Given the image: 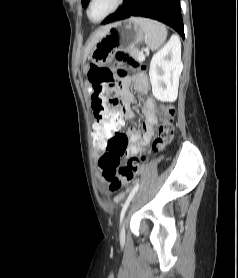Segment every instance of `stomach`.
Returning <instances> with one entry per match:
<instances>
[{
    "label": "stomach",
    "instance_id": "stomach-1",
    "mask_svg": "<svg viewBox=\"0 0 238 278\" xmlns=\"http://www.w3.org/2000/svg\"><path fill=\"white\" fill-rule=\"evenodd\" d=\"M145 33L133 18L110 25L105 35L93 46L89 59L98 66L110 64L117 51H130L144 40Z\"/></svg>",
    "mask_w": 238,
    "mask_h": 278
}]
</instances>
